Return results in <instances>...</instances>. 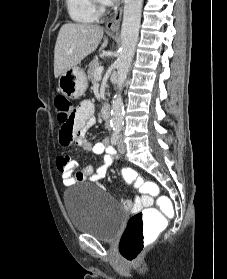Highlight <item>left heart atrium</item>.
I'll list each match as a JSON object with an SVG mask.
<instances>
[{
    "label": "left heart atrium",
    "mask_w": 227,
    "mask_h": 279,
    "mask_svg": "<svg viewBox=\"0 0 227 279\" xmlns=\"http://www.w3.org/2000/svg\"><path fill=\"white\" fill-rule=\"evenodd\" d=\"M102 3L110 5L115 2V0H100Z\"/></svg>",
    "instance_id": "1"
}]
</instances>
